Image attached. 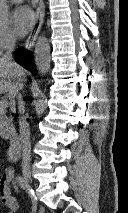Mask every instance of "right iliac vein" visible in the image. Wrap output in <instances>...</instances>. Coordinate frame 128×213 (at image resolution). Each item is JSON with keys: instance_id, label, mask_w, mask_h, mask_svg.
<instances>
[{"instance_id": "1", "label": "right iliac vein", "mask_w": 128, "mask_h": 213, "mask_svg": "<svg viewBox=\"0 0 128 213\" xmlns=\"http://www.w3.org/2000/svg\"><path fill=\"white\" fill-rule=\"evenodd\" d=\"M22 174L24 176V178L26 179L29 188H31V182H32V178H31V171L30 168L25 166L22 168Z\"/></svg>"}]
</instances>
